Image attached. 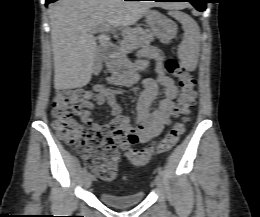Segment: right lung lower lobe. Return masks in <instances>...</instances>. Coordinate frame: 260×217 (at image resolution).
I'll return each instance as SVG.
<instances>
[{
  "instance_id": "98d812e1",
  "label": "right lung lower lobe",
  "mask_w": 260,
  "mask_h": 217,
  "mask_svg": "<svg viewBox=\"0 0 260 217\" xmlns=\"http://www.w3.org/2000/svg\"><path fill=\"white\" fill-rule=\"evenodd\" d=\"M55 1H57V0H46V3H45V4L47 5V4L53 3V2H55ZM126 1H131V0H126Z\"/></svg>"
}]
</instances>
